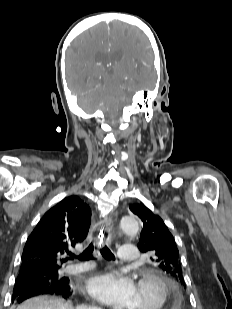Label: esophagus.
Returning <instances> with one entry per match:
<instances>
[{
	"mask_svg": "<svg viewBox=\"0 0 232 309\" xmlns=\"http://www.w3.org/2000/svg\"><path fill=\"white\" fill-rule=\"evenodd\" d=\"M112 225V218L108 217L93 226L91 230V236L94 244L97 246L111 244Z\"/></svg>",
	"mask_w": 232,
	"mask_h": 309,
	"instance_id": "34e87169",
	"label": "esophagus"
}]
</instances>
